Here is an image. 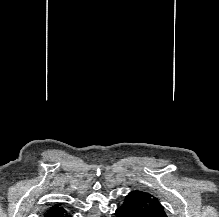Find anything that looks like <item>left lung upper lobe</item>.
<instances>
[{"label":"left lung upper lobe","instance_id":"1","mask_svg":"<svg viewBox=\"0 0 219 217\" xmlns=\"http://www.w3.org/2000/svg\"><path fill=\"white\" fill-rule=\"evenodd\" d=\"M129 203L142 217H167L162 205L152 194L144 191H131L124 204Z\"/></svg>","mask_w":219,"mask_h":217}]
</instances>
